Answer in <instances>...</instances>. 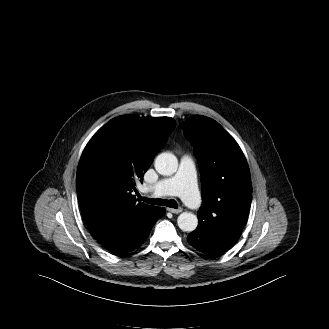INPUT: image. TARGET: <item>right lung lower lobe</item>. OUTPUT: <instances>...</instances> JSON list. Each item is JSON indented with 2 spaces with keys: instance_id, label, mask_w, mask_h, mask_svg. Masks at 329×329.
Returning <instances> with one entry per match:
<instances>
[{
  "instance_id": "obj_1",
  "label": "right lung lower lobe",
  "mask_w": 329,
  "mask_h": 329,
  "mask_svg": "<svg viewBox=\"0 0 329 329\" xmlns=\"http://www.w3.org/2000/svg\"><path fill=\"white\" fill-rule=\"evenodd\" d=\"M164 214V208L153 207L132 215H112L99 221L90 230L107 250L121 255L140 247L155 222Z\"/></svg>"
}]
</instances>
